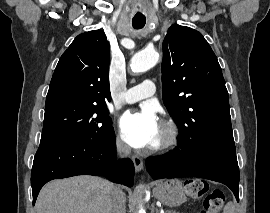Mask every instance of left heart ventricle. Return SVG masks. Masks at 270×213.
Here are the masks:
<instances>
[{"instance_id":"1","label":"left heart ventricle","mask_w":270,"mask_h":213,"mask_svg":"<svg viewBox=\"0 0 270 213\" xmlns=\"http://www.w3.org/2000/svg\"><path fill=\"white\" fill-rule=\"evenodd\" d=\"M160 135H161V129H160V131H159V134H158V137H157V140H156V142H155V143H157V142H158V140H159V138H160Z\"/></svg>"}]
</instances>
